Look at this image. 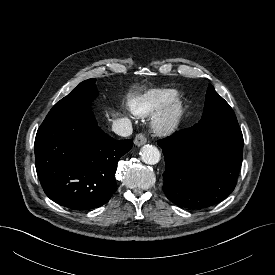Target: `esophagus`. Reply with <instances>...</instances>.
I'll list each match as a JSON object with an SVG mask.
<instances>
[{
  "mask_svg": "<svg viewBox=\"0 0 275 275\" xmlns=\"http://www.w3.org/2000/svg\"><path fill=\"white\" fill-rule=\"evenodd\" d=\"M147 142V139L144 134L139 133L136 135L134 143L136 146H142Z\"/></svg>",
  "mask_w": 275,
  "mask_h": 275,
  "instance_id": "esophagus-1",
  "label": "esophagus"
}]
</instances>
